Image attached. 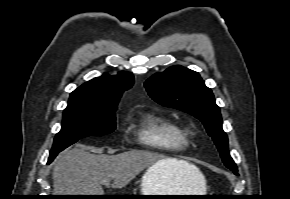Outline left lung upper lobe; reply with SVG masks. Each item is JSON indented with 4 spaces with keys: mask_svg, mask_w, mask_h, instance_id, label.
I'll return each mask as SVG.
<instances>
[{
    "mask_svg": "<svg viewBox=\"0 0 290 199\" xmlns=\"http://www.w3.org/2000/svg\"><path fill=\"white\" fill-rule=\"evenodd\" d=\"M150 97L157 103L175 108L198 118L216 144L226 167L237 172L228 151V139L222 129L219 107L210 88L200 75L182 66H172L156 73L145 82Z\"/></svg>",
    "mask_w": 290,
    "mask_h": 199,
    "instance_id": "left-lung-upper-lobe-1",
    "label": "left lung upper lobe"
}]
</instances>
